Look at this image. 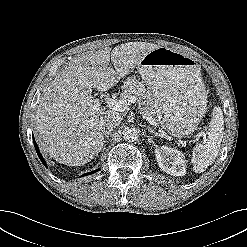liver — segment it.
Listing matches in <instances>:
<instances>
[{
    "instance_id": "obj_1",
    "label": "liver",
    "mask_w": 247,
    "mask_h": 247,
    "mask_svg": "<svg viewBox=\"0 0 247 247\" xmlns=\"http://www.w3.org/2000/svg\"><path fill=\"white\" fill-rule=\"evenodd\" d=\"M156 44L131 42L74 57L50 83L37 107L36 141L57 162L80 166L103 148L105 116L115 110L94 107L92 88L106 91L130 74ZM110 61L113 67H109Z\"/></svg>"
}]
</instances>
